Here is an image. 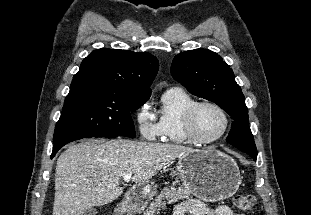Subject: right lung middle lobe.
<instances>
[{
	"instance_id": "right-lung-middle-lobe-1",
	"label": "right lung middle lobe",
	"mask_w": 311,
	"mask_h": 215,
	"mask_svg": "<svg viewBox=\"0 0 311 215\" xmlns=\"http://www.w3.org/2000/svg\"><path fill=\"white\" fill-rule=\"evenodd\" d=\"M149 96L93 86L71 88L56 124L53 142L107 136L136 137L131 112Z\"/></svg>"
}]
</instances>
